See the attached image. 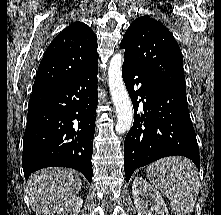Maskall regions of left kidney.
<instances>
[{
  "label": "left kidney",
  "mask_w": 221,
  "mask_h": 215,
  "mask_svg": "<svg viewBox=\"0 0 221 215\" xmlns=\"http://www.w3.org/2000/svg\"><path fill=\"white\" fill-rule=\"evenodd\" d=\"M132 195L138 215H169L161 194L142 177L133 180ZM144 197H150L152 200L149 210V204Z\"/></svg>",
  "instance_id": "5707ae66"
}]
</instances>
